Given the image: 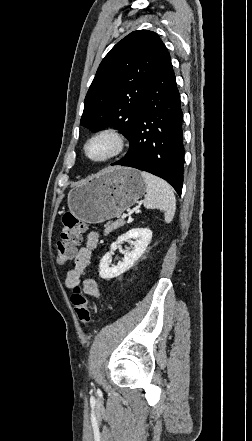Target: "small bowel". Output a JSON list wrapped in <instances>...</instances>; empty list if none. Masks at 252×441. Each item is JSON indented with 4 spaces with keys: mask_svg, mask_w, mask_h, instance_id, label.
Wrapping results in <instances>:
<instances>
[{
    "mask_svg": "<svg viewBox=\"0 0 252 441\" xmlns=\"http://www.w3.org/2000/svg\"><path fill=\"white\" fill-rule=\"evenodd\" d=\"M99 242V235L96 232H90L84 242V245L77 251L74 265L67 272L65 284L68 288H73L76 285H81L83 292L94 298H100L98 285L93 279H82L86 267L90 263L92 251L96 248Z\"/></svg>",
    "mask_w": 252,
    "mask_h": 441,
    "instance_id": "c3829d8e",
    "label": "small bowel"
}]
</instances>
